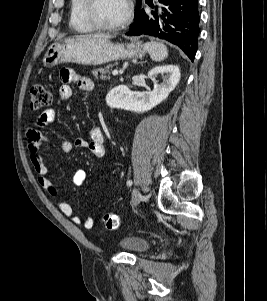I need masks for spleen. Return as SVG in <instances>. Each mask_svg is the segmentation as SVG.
Wrapping results in <instances>:
<instances>
[{
	"mask_svg": "<svg viewBox=\"0 0 267 301\" xmlns=\"http://www.w3.org/2000/svg\"><path fill=\"white\" fill-rule=\"evenodd\" d=\"M145 48L153 61L160 62L168 57V49L163 43L151 41L145 43Z\"/></svg>",
	"mask_w": 267,
	"mask_h": 301,
	"instance_id": "obj_1",
	"label": "spleen"
}]
</instances>
